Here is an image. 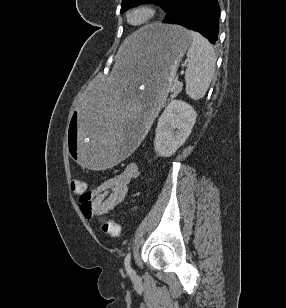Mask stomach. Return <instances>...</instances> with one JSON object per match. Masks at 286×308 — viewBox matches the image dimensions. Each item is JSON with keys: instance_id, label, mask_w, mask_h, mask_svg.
I'll list each match as a JSON object with an SVG mask.
<instances>
[{"instance_id": "obj_1", "label": "stomach", "mask_w": 286, "mask_h": 308, "mask_svg": "<svg viewBox=\"0 0 286 308\" xmlns=\"http://www.w3.org/2000/svg\"><path fill=\"white\" fill-rule=\"evenodd\" d=\"M135 33L120 44L109 81H97L71 114L66 149L77 168H116L135 153L192 43L179 25L154 23Z\"/></svg>"}]
</instances>
